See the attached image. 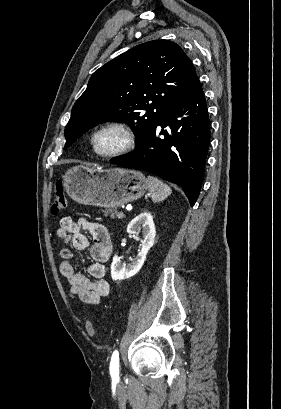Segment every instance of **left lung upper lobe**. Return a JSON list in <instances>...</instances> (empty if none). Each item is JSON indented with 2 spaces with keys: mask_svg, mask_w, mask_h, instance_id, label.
Instances as JSON below:
<instances>
[{
  "mask_svg": "<svg viewBox=\"0 0 281 409\" xmlns=\"http://www.w3.org/2000/svg\"><path fill=\"white\" fill-rule=\"evenodd\" d=\"M195 78L191 60L174 42L155 40L128 50L91 76L72 108L65 147L106 121L128 123L138 144Z\"/></svg>",
  "mask_w": 281,
  "mask_h": 409,
  "instance_id": "1",
  "label": "left lung upper lobe"
}]
</instances>
